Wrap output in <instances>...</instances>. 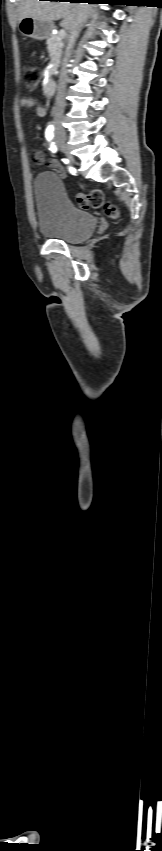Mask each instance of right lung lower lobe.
Listing matches in <instances>:
<instances>
[{
	"label": "right lung lower lobe",
	"mask_w": 162,
	"mask_h": 851,
	"mask_svg": "<svg viewBox=\"0 0 162 851\" xmlns=\"http://www.w3.org/2000/svg\"><path fill=\"white\" fill-rule=\"evenodd\" d=\"M51 1H62V0H51ZM68 1L69 2H79V3L87 2L89 4L107 3L109 5H115V4H117L116 2H118V0H68Z\"/></svg>",
	"instance_id": "98d812e1"
}]
</instances>
